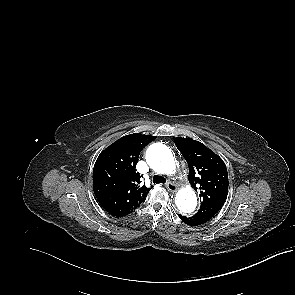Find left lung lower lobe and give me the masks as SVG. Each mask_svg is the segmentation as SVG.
I'll return each instance as SVG.
<instances>
[{
    "label": "left lung lower lobe",
    "instance_id": "obj_1",
    "mask_svg": "<svg viewBox=\"0 0 295 295\" xmlns=\"http://www.w3.org/2000/svg\"><path fill=\"white\" fill-rule=\"evenodd\" d=\"M213 216L214 215L212 214L198 213V212L192 217H185V216L179 215L180 219L184 223L191 226L204 224L205 222L209 221Z\"/></svg>",
    "mask_w": 295,
    "mask_h": 295
}]
</instances>
